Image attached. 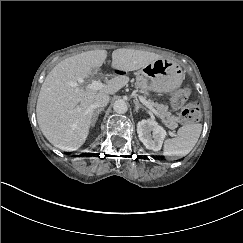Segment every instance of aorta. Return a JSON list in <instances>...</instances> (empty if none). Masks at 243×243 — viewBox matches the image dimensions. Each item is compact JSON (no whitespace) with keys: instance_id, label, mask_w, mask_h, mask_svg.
I'll list each match as a JSON object with an SVG mask.
<instances>
[{"instance_id":"1","label":"aorta","mask_w":243,"mask_h":243,"mask_svg":"<svg viewBox=\"0 0 243 243\" xmlns=\"http://www.w3.org/2000/svg\"><path fill=\"white\" fill-rule=\"evenodd\" d=\"M113 109L118 114H124L127 112L128 106L123 99H118L114 102Z\"/></svg>"}]
</instances>
